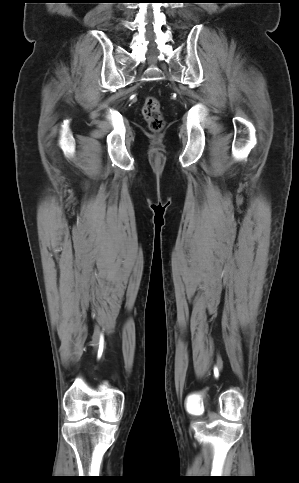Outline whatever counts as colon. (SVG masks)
<instances>
[{
    "instance_id": "5ec220e1",
    "label": "colon",
    "mask_w": 299,
    "mask_h": 483,
    "mask_svg": "<svg viewBox=\"0 0 299 483\" xmlns=\"http://www.w3.org/2000/svg\"><path fill=\"white\" fill-rule=\"evenodd\" d=\"M142 114L153 132H159L164 127V119L160 109L159 100L152 95L146 96L142 108Z\"/></svg>"
}]
</instances>
